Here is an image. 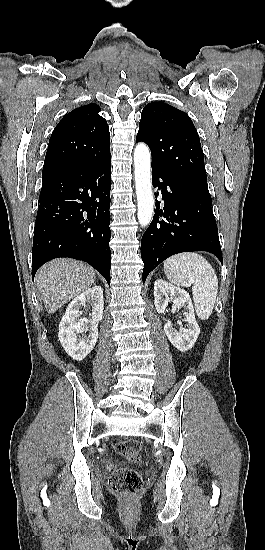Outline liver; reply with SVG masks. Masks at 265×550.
Here are the masks:
<instances>
[{
	"label": "liver",
	"instance_id": "liver-1",
	"mask_svg": "<svg viewBox=\"0 0 265 550\" xmlns=\"http://www.w3.org/2000/svg\"><path fill=\"white\" fill-rule=\"evenodd\" d=\"M95 270L73 259H54L36 274V282L48 314L86 291L95 283Z\"/></svg>",
	"mask_w": 265,
	"mask_h": 550
}]
</instances>
